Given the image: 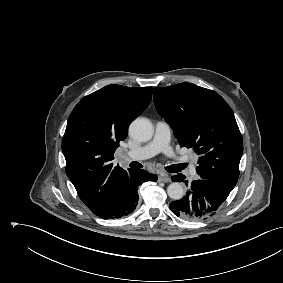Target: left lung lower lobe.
I'll return each mask as SVG.
<instances>
[{"label":"left lung lower lobe","mask_w":283,"mask_h":283,"mask_svg":"<svg viewBox=\"0 0 283 283\" xmlns=\"http://www.w3.org/2000/svg\"><path fill=\"white\" fill-rule=\"evenodd\" d=\"M183 174L172 176V181H185ZM187 185V184H186ZM231 191L227 188L204 179L191 183L186 195L169 204L170 210L178 217L198 221L214 215Z\"/></svg>","instance_id":"left-lung-lower-lobe-1"}]
</instances>
